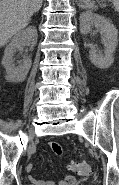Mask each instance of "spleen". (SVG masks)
<instances>
[{
  "label": "spleen",
  "mask_w": 119,
  "mask_h": 185,
  "mask_svg": "<svg viewBox=\"0 0 119 185\" xmlns=\"http://www.w3.org/2000/svg\"><path fill=\"white\" fill-rule=\"evenodd\" d=\"M81 2V7L86 10H93L96 8L93 0H79ZM115 10L119 12V0H112Z\"/></svg>",
  "instance_id": "spleen-1"
}]
</instances>
